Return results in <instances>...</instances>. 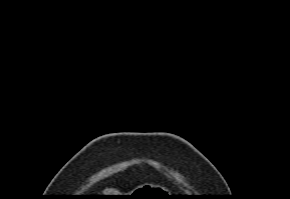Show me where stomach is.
<instances>
[{
	"instance_id": "1",
	"label": "stomach",
	"mask_w": 290,
	"mask_h": 199,
	"mask_svg": "<svg viewBox=\"0 0 290 199\" xmlns=\"http://www.w3.org/2000/svg\"><path fill=\"white\" fill-rule=\"evenodd\" d=\"M147 187L148 188V190L146 191V192H144V193H147V194H152L153 193V190H156V189H158V188H160V189H162L163 191H165V189L164 188H162V187H159V186H157V185H153V184H146V185H144V186H142V187H139L138 189H140L139 191H141L144 187ZM137 190V189H136ZM135 190V191H136ZM134 191V192H135ZM133 192V193H134ZM129 195H133V194H129Z\"/></svg>"
}]
</instances>
